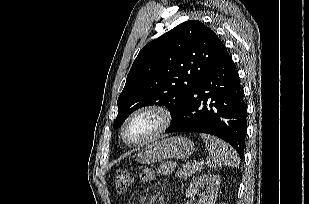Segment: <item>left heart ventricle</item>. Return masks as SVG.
Returning <instances> with one entry per match:
<instances>
[{
    "label": "left heart ventricle",
    "mask_w": 309,
    "mask_h": 204,
    "mask_svg": "<svg viewBox=\"0 0 309 204\" xmlns=\"http://www.w3.org/2000/svg\"><path fill=\"white\" fill-rule=\"evenodd\" d=\"M159 125L154 113H144L133 118L127 125L126 136L130 141H139L151 134Z\"/></svg>",
    "instance_id": "b2bd125f"
}]
</instances>
